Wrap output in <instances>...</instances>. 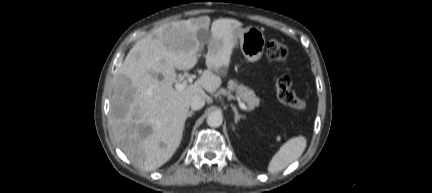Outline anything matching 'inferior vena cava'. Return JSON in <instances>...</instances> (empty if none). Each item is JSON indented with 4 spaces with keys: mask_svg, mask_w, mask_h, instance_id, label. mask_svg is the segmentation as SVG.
I'll list each match as a JSON object with an SVG mask.
<instances>
[{
    "mask_svg": "<svg viewBox=\"0 0 432 193\" xmlns=\"http://www.w3.org/2000/svg\"><path fill=\"white\" fill-rule=\"evenodd\" d=\"M205 105V98L203 95L196 94L191 98L190 107L193 110H200Z\"/></svg>",
    "mask_w": 432,
    "mask_h": 193,
    "instance_id": "602c4592",
    "label": "inferior vena cava"
}]
</instances>
